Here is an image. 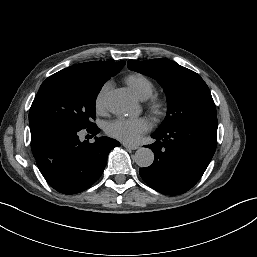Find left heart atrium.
I'll list each match as a JSON object with an SVG mask.
<instances>
[{
  "mask_svg": "<svg viewBox=\"0 0 257 257\" xmlns=\"http://www.w3.org/2000/svg\"><path fill=\"white\" fill-rule=\"evenodd\" d=\"M153 124L147 117L117 118L106 125V133L124 143H137Z\"/></svg>",
  "mask_w": 257,
  "mask_h": 257,
  "instance_id": "1",
  "label": "left heart atrium"
}]
</instances>
